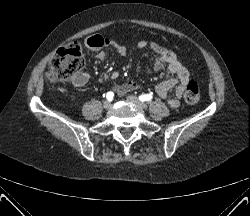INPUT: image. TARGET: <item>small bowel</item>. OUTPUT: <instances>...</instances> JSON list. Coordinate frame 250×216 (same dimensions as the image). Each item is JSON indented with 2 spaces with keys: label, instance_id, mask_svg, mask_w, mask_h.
<instances>
[{
  "label": "small bowel",
  "instance_id": "c3829d8e",
  "mask_svg": "<svg viewBox=\"0 0 250 216\" xmlns=\"http://www.w3.org/2000/svg\"><path fill=\"white\" fill-rule=\"evenodd\" d=\"M87 48L99 51L97 58L103 60L105 58L104 48L112 47L116 52L124 56L127 53V49L122 45H117L108 39L103 38L100 35H93L86 40ZM138 48L148 47L155 55V60L152 65L149 66V71L156 72L167 65L169 77L156 85V93L164 99L168 100L169 105L172 108H177L179 106V99L185 92V88L191 79L189 71L183 66L179 57L172 51L165 49L158 43H148L141 41L137 44ZM108 79L107 74H102L100 76L101 81ZM89 80V75L86 72L80 71L72 76L71 83L74 86L82 87ZM137 89V84L133 81H128L121 86L117 87L116 90L118 94L123 95L127 92Z\"/></svg>",
  "mask_w": 250,
  "mask_h": 216
}]
</instances>
